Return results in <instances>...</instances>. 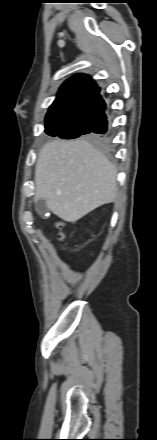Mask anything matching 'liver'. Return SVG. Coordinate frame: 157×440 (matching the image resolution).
<instances>
[{
	"label": "liver",
	"mask_w": 157,
	"mask_h": 440,
	"mask_svg": "<svg viewBox=\"0 0 157 440\" xmlns=\"http://www.w3.org/2000/svg\"><path fill=\"white\" fill-rule=\"evenodd\" d=\"M116 167L85 140H54L40 150L35 200L67 222H76L117 197Z\"/></svg>",
	"instance_id": "liver-1"
}]
</instances>
